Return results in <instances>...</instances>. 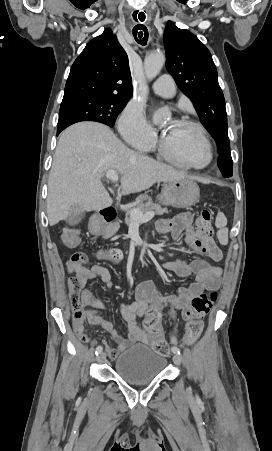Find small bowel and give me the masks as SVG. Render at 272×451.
<instances>
[{
  "label": "small bowel",
  "mask_w": 272,
  "mask_h": 451,
  "mask_svg": "<svg viewBox=\"0 0 272 451\" xmlns=\"http://www.w3.org/2000/svg\"><path fill=\"white\" fill-rule=\"evenodd\" d=\"M156 229L160 234H168L172 241H177L180 236H183L185 244L192 252L204 254L207 257H198L191 261L175 259L164 263L167 270L179 277L195 276L194 282L189 286L179 288L176 294L161 295L152 281L140 283L135 291L136 301L119 304L120 315L128 328L126 337L121 336L114 325L102 317L101 312L106 310L107 306L86 289L88 280L100 278L106 288L111 290L113 283L107 268L101 265H93L85 271V274H74L68 280V293L72 311H81L80 322L83 332H85L86 323L99 326L105 330L115 344V347H111L108 341L104 342L105 351L111 360H115L131 344H151V339H163L161 325L154 332H146L140 326L139 319L144 316L160 315V312L166 309L169 318L174 320L176 312L186 309L194 297L205 291L216 290L220 286L222 270L211 261H221L223 258L222 251L216 243L208 245L206 238H198L197 231L201 228L193 225L190 213L179 214L173 219L159 220ZM98 256L99 258H106L103 252H100ZM68 272L72 274L71 270H68ZM184 341L186 342V335Z\"/></svg>",
  "instance_id": "small-bowel-1"
}]
</instances>
